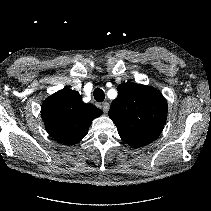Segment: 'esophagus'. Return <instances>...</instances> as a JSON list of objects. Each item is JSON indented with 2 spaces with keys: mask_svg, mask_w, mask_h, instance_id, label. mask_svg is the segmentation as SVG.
<instances>
[{
  "mask_svg": "<svg viewBox=\"0 0 211 211\" xmlns=\"http://www.w3.org/2000/svg\"><path fill=\"white\" fill-rule=\"evenodd\" d=\"M109 108H110V104H109L108 102H104V103L102 104V109H103V111H104L105 113L108 112Z\"/></svg>",
  "mask_w": 211,
  "mask_h": 211,
  "instance_id": "esophagus-1",
  "label": "esophagus"
}]
</instances>
